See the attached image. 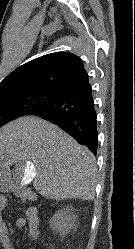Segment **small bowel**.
<instances>
[{"instance_id": "1", "label": "small bowel", "mask_w": 135, "mask_h": 249, "mask_svg": "<svg viewBox=\"0 0 135 249\" xmlns=\"http://www.w3.org/2000/svg\"><path fill=\"white\" fill-rule=\"evenodd\" d=\"M9 205L8 200L5 196L0 195V212L7 208ZM24 216L16 221L17 227L26 228V236L32 240L38 237L39 217L37 208L34 206L26 207L23 210ZM0 244L4 249H13L9 243V237L5 222L2 219L0 213Z\"/></svg>"}]
</instances>
